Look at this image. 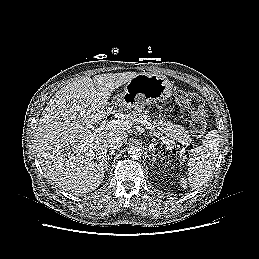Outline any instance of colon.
Instances as JSON below:
<instances>
[{
  "label": "colon",
  "mask_w": 259,
  "mask_h": 259,
  "mask_svg": "<svg viewBox=\"0 0 259 259\" xmlns=\"http://www.w3.org/2000/svg\"><path fill=\"white\" fill-rule=\"evenodd\" d=\"M176 102L187 109L190 114V129L196 136L202 135L207 127V114L203 99L189 91L179 90L175 95Z\"/></svg>",
  "instance_id": "5ec220e1"
}]
</instances>
